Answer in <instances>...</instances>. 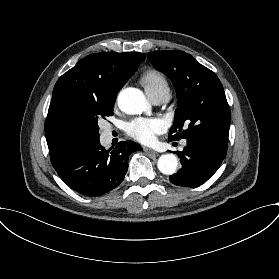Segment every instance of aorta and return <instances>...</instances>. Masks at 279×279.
I'll list each match as a JSON object with an SVG mask.
<instances>
[{"instance_id":"1","label":"aorta","mask_w":279,"mask_h":279,"mask_svg":"<svg viewBox=\"0 0 279 279\" xmlns=\"http://www.w3.org/2000/svg\"><path fill=\"white\" fill-rule=\"evenodd\" d=\"M118 106L126 114L135 115L146 111L148 102L139 89L126 88L118 96ZM158 169L165 175H172L176 172L178 161L174 154L167 153L160 156L157 162Z\"/></svg>"}]
</instances>
